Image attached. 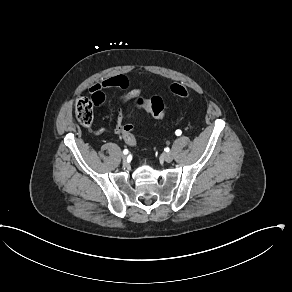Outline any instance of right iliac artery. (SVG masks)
Here are the masks:
<instances>
[{
	"mask_svg": "<svg viewBox=\"0 0 292 292\" xmlns=\"http://www.w3.org/2000/svg\"><path fill=\"white\" fill-rule=\"evenodd\" d=\"M123 153L126 155V154H128V149H124L123 150Z\"/></svg>",
	"mask_w": 292,
	"mask_h": 292,
	"instance_id": "obj_1",
	"label": "right iliac artery"
}]
</instances>
